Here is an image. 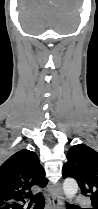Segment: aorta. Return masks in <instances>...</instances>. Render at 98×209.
<instances>
[{
  "label": "aorta",
  "instance_id": "obj_1",
  "mask_svg": "<svg viewBox=\"0 0 98 209\" xmlns=\"http://www.w3.org/2000/svg\"><path fill=\"white\" fill-rule=\"evenodd\" d=\"M64 194L67 198H73L78 192V184L76 180L68 178L63 183Z\"/></svg>",
  "mask_w": 98,
  "mask_h": 209
}]
</instances>
